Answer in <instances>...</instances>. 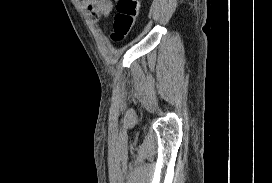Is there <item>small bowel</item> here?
Wrapping results in <instances>:
<instances>
[{"instance_id": "1", "label": "small bowel", "mask_w": 272, "mask_h": 183, "mask_svg": "<svg viewBox=\"0 0 272 183\" xmlns=\"http://www.w3.org/2000/svg\"><path fill=\"white\" fill-rule=\"evenodd\" d=\"M94 16H108L113 11V0H89L87 5Z\"/></svg>"}]
</instances>
